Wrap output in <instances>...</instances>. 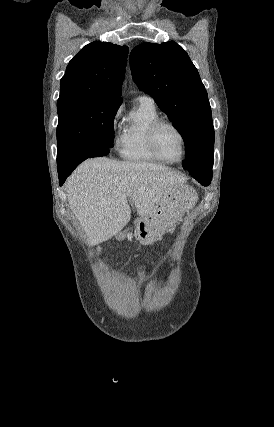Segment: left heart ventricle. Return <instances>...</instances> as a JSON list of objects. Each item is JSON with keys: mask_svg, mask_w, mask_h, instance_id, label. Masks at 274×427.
Listing matches in <instances>:
<instances>
[{"mask_svg": "<svg viewBox=\"0 0 274 427\" xmlns=\"http://www.w3.org/2000/svg\"><path fill=\"white\" fill-rule=\"evenodd\" d=\"M159 152L169 161H176L182 154V142L178 133L170 127H162L157 133Z\"/></svg>", "mask_w": 274, "mask_h": 427, "instance_id": "1", "label": "left heart ventricle"}]
</instances>
